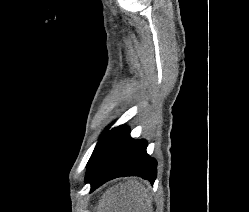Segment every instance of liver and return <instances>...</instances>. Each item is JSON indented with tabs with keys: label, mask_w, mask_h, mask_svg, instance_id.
I'll use <instances>...</instances> for the list:
<instances>
[{
	"label": "liver",
	"mask_w": 249,
	"mask_h": 212,
	"mask_svg": "<svg viewBox=\"0 0 249 212\" xmlns=\"http://www.w3.org/2000/svg\"><path fill=\"white\" fill-rule=\"evenodd\" d=\"M97 210L98 212H153V206L145 186L135 178H127V182H120L103 194Z\"/></svg>",
	"instance_id": "obj_1"
}]
</instances>
